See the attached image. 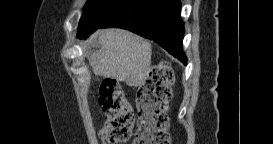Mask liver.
<instances>
[{
    "mask_svg": "<svg viewBox=\"0 0 273 144\" xmlns=\"http://www.w3.org/2000/svg\"><path fill=\"white\" fill-rule=\"evenodd\" d=\"M99 49L92 52L89 64L95 75L111 77L132 87L145 84L150 71L151 44L123 29L97 32Z\"/></svg>",
    "mask_w": 273,
    "mask_h": 144,
    "instance_id": "1",
    "label": "liver"
}]
</instances>
